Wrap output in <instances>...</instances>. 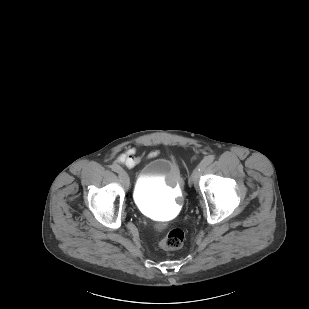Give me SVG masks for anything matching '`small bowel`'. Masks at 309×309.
Instances as JSON below:
<instances>
[{
	"instance_id": "obj_1",
	"label": "small bowel",
	"mask_w": 309,
	"mask_h": 309,
	"mask_svg": "<svg viewBox=\"0 0 309 309\" xmlns=\"http://www.w3.org/2000/svg\"><path fill=\"white\" fill-rule=\"evenodd\" d=\"M156 155L157 151H153L152 153H150V157H154ZM116 160L117 162L124 164L128 167H134L139 162V159L135 156V150L132 148L119 154Z\"/></svg>"
}]
</instances>
